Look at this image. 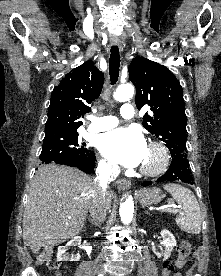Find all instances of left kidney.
Masks as SVG:
<instances>
[{
    "label": "left kidney",
    "mask_w": 221,
    "mask_h": 276,
    "mask_svg": "<svg viewBox=\"0 0 221 276\" xmlns=\"http://www.w3.org/2000/svg\"><path fill=\"white\" fill-rule=\"evenodd\" d=\"M160 234L163 238L162 244L165 246V250L163 252H158L155 248H153V252L158 258L166 260L170 257L171 251L176 246V240L174 235L166 229L162 230Z\"/></svg>",
    "instance_id": "left-kidney-1"
}]
</instances>
